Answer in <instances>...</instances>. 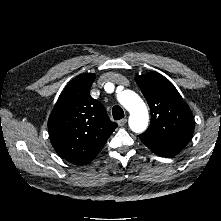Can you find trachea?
Returning a JSON list of instances; mask_svg holds the SVG:
<instances>
[{
  "mask_svg": "<svg viewBox=\"0 0 221 221\" xmlns=\"http://www.w3.org/2000/svg\"><path fill=\"white\" fill-rule=\"evenodd\" d=\"M112 115L115 120H120L124 117V111L120 106H114L112 109Z\"/></svg>",
  "mask_w": 221,
  "mask_h": 221,
  "instance_id": "1",
  "label": "trachea"
}]
</instances>
